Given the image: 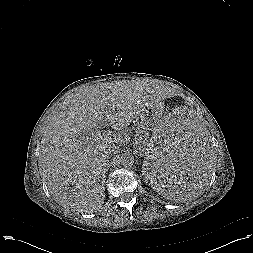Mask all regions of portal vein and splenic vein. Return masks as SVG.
Wrapping results in <instances>:
<instances>
[{
  "instance_id": "obj_1",
  "label": "portal vein and splenic vein",
  "mask_w": 253,
  "mask_h": 253,
  "mask_svg": "<svg viewBox=\"0 0 253 253\" xmlns=\"http://www.w3.org/2000/svg\"><path fill=\"white\" fill-rule=\"evenodd\" d=\"M106 117L108 118L109 115H107ZM101 126L105 127L106 124L103 123ZM104 134H105V133L103 132V130L97 129V130H95L91 135H92V137L96 140V139L102 138V136H104Z\"/></svg>"
}]
</instances>
